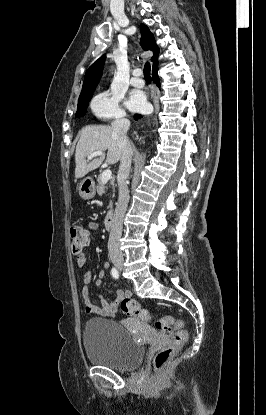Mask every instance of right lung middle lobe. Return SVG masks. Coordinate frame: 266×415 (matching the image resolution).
<instances>
[{
  "instance_id": "obj_1",
  "label": "right lung middle lobe",
  "mask_w": 266,
  "mask_h": 415,
  "mask_svg": "<svg viewBox=\"0 0 266 415\" xmlns=\"http://www.w3.org/2000/svg\"><path fill=\"white\" fill-rule=\"evenodd\" d=\"M92 95H93V92L79 97L78 107H77V112H76L75 117H82L85 115L88 102L91 99Z\"/></svg>"
}]
</instances>
